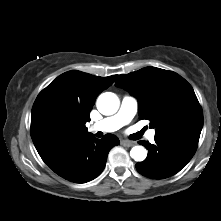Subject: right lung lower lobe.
<instances>
[{
	"label": "right lung lower lobe",
	"mask_w": 221,
	"mask_h": 221,
	"mask_svg": "<svg viewBox=\"0 0 221 221\" xmlns=\"http://www.w3.org/2000/svg\"><path fill=\"white\" fill-rule=\"evenodd\" d=\"M119 144L112 134L93 135L55 144L39 152L46 165L64 179L75 183L93 180L103 171L111 148Z\"/></svg>",
	"instance_id": "right-lung-lower-lobe-1"
}]
</instances>
